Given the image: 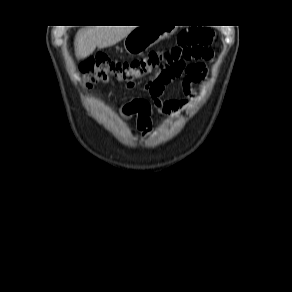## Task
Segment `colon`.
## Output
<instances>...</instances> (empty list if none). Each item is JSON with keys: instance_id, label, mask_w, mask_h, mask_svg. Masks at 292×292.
<instances>
[{"instance_id": "1", "label": "colon", "mask_w": 292, "mask_h": 292, "mask_svg": "<svg viewBox=\"0 0 292 292\" xmlns=\"http://www.w3.org/2000/svg\"><path fill=\"white\" fill-rule=\"evenodd\" d=\"M214 33L208 28L192 27L182 31L177 45L132 61H116L106 55H96L84 61L79 68L81 83L86 88L99 82L116 80L126 87L145 83L150 96L173 78L188 72L193 60L204 59ZM151 105L145 99H137L127 106L128 113L139 116L141 124H149Z\"/></svg>"}]
</instances>
